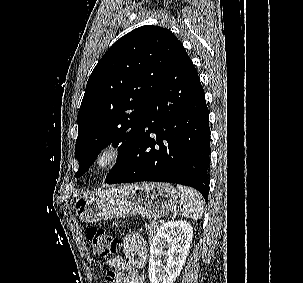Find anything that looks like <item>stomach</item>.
I'll list each match as a JSON object with an SVG mask.
<instances>
[{
  "label": "stomach",
  "mask_w": 303,
  "mask_h": 283,
  "mask_svg": "<svg viewBox=\"0 0 303 283\" xmlns=\"http://www.w3.org/2000/svg\"><path fill=\"white\" fill-rule=\"evenodd\" d=\"M177 203L178 193L172 185L151 182L118 186L78 197L74 208L81 220L93 223L134 215L157 219L168 215Z\"/></svg>",
  "instance_id": "0dacf381"
}]
</instances>
